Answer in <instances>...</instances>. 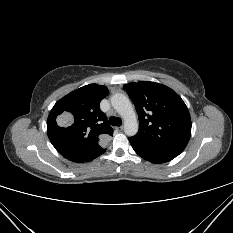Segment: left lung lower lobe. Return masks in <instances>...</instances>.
<instances>
[{
	"instance_id": "0a47b994",
	"label": "left lung lower lobe",
	"mask_w": 233,
	"mask_h": 233,
	"mask_svg": "<svg viewBox=\"0 0 233 233\" xmlns=\"http://www.w3.org/2000/svg\"><path fill=\"white\" fill-rule=\"evenodd\" d=\"M134 151L141 156L143 159L150 161L152 163H165L168 162L172 159H174V156H169L163 153H159V152H155L152 150H149L135 142H133L132 140H129Z\"/></svg>"
}]
</instances>
